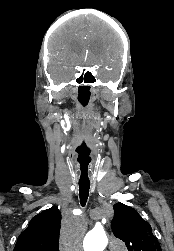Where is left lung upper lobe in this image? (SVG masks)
I'll use <instances>...</instances> for the list:
<instances>
[{"instance_id":"obj_1","label":"left lung upper lobe","mask_w":174,"mask_h":251,"mask_svg":"<svg viewBox=\"0 0 174 251\" xmlns=\"http://www.w3.org/2000/svg\"><path fill=\"white\" fill-rule=\"evenodd\" d=\"M113 207V233L125 242L128 251H162L150 224L135 209L122 203Z\"/></svg>"}]
</instances>
